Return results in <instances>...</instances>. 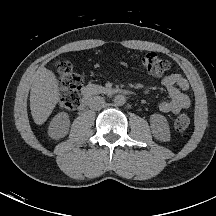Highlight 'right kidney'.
<instances>
[{"instance_id": "1", "label": "right kidney", "mask_w": 216, "mask_h": 216, "mask_svg": "<svg viewBox=\"0 0 216 216\" xmlns=\"http://www.w3.org/2000/svg\"><path fill=\"white\" fill-rule=\"evenodd\" d=\"M69 127V115L65 112H61L52 119L49 126L48 134L53 139H60L67 135Z\"/></svg>"}]
</instances>
